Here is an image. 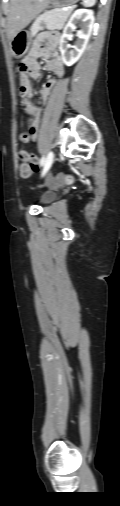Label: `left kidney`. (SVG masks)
Instances as JSON below:
<instances>
[{"mask_svg":"<svg viewBox=\"0 0 120 506\" xmlns=\"http://www.w3.org/2000/svg\"><path fill=\"white\" fill-rule=\"evenodd\" d=\"M82 22L81 30L77 31V41L75 45L68 44L71 33L75 30V24ZM94 25V13L89 9H78L71 15L67 25L64 27L63 34L59 42L62 61L65 65L71 66L76 63L83 54L88 40L91 36ZM70 48H73L70 50Z\"/></svg>","mask_w":120,"mask_h":506,"instance_id":"5707ae66","label":"left kidney"}]
</instances>
